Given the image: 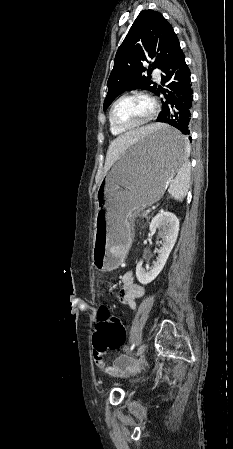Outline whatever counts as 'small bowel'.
<instances>
[{
    "instance_id": "obj_1",
    "label": "small bowel",
    "mask_w": 233,
    "mask_h": 449,
    "mask_svg": "<svg viewBox=\"0 0 233 449\" xmlns=\"http://www.w3.org/2000/svg\"><path fill=\"white\" fill-rule=\"evenodd\" d=\"M105 289L107 291H113L115 289V284L113 282H107L105 284ZM143 293V287L134 281V272L132 270L126 271L120 278V299L130 308L134 309L135 301L140 298ZM97 311L98 310L94 312L95 320L98 319ZM94 361L98 368L110 376L118 375L128 364L127 357L122 355L115 358L113 363L109 365L104 359L103 354L98 353L96 350L94 352Z\"/></svg>"
}]
</instances>
